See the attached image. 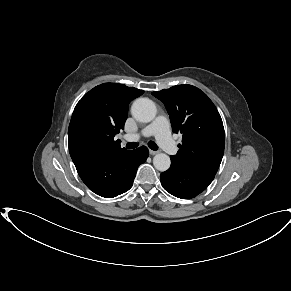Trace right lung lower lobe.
Segmentation results:
<instances>
[{"label": "right lung lower lobe", "mask_w": 291, "mask_h": 291, "mask_svg": "<svg viewBox=\"0 0 291 291\" xmlns=\"http://www.w3.org/2000/svg\"><path fill=\"white\" fill-rule=\"evenodd\" d=\"M69 151L82 181L91 191L105 198L128 191L133 185L137 168L149 155L145 146L109 157L76 148Z\"/></svg>", "instance_id": "1"}]
</instances>
